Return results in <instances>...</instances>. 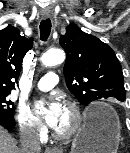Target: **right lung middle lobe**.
Instances as JSON below:
<instances>
[{
	"instance_id": "1",
	"label": "right lung middle lobe",
	"mask_w": 130,
	"mask_h": 153,
	"mask_svg": "<svg viewBox=\"0 0 130 153\" xmlns=\"http://www.w3.org/2000/svg\"><path fill=\"white\" fill-rule=\"evenodd\" d=\"M9 93H0V116H4L9 120H14V103L8 100Z\"/></svg>"
}]
</instances>
